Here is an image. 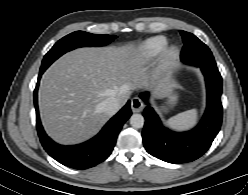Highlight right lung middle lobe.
Here are the masks:
<instances>
[{"label": "right lung middle lobe", "instance_id": "right-lung-middle-lobe-1", "mask_svg": "<svg viewBox=\"0 0 248 195\" xmlns=\"http://www.w3.org/2000/svg\"><path fill=\"white\" fill-rule=\"evenodd\" d=\"M115 35H97L84 31L73 32L60 39L44 56L41 69H47L64 53L83 46H103L112 42Z\"/></svg>", "mask_w": 248, "mask_h": 195}]
</instances>
